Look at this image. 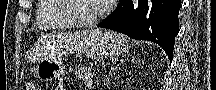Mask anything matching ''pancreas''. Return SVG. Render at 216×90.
I'll return each instance as SVG.
<instances>
[{"label":"pancreas","instance_id":"pancreas-1","mask_svg":"<svg viewBox=\"0 0 216 90\" xmlns=\"http://www.w3.org/2000/svg\"><path fill=\"white\" fill-rule=\"evenodd\" d=\"M75 76L78 80H82V82H84V86H87V84H89L88 80H91L94 74H91L88 68H76Z\"/></svg>","mask_w":216,"mask_h":90}]
</instances>
